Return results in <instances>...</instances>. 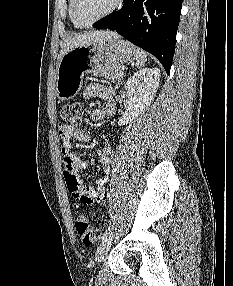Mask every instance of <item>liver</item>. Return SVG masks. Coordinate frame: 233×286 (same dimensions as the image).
I'll list each match as a JSON object with an SVG mask.
<instances>
[{"mask_svg": "<svg viewBox=\"0 0 233 286\" xmlns=\"http://www.w3.org/2000/svg\"><path fill=\"white\" fill-rule=\"evenodd\" d=\"M112 37H119L117 33L112 31H90L84 34L75 35L74 37H71L67 39L64 42V46L60 51L59 59L66 54L68 51L75 47H80L86 44L90 43H96L98 41H101L103 39H109Z\"/></svg>", "mask_w": 233, "mask_h": 286, "instance_id": "1", "label": "liver"}]
</instances>
